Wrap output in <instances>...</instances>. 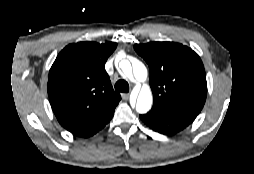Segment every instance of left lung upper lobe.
Returning <instances> with one entry per match:
<instances>
[{
    "instance_id": "5c2ea615",
    "label": "left lung upper lobe",
    "mask_w": 254,
    "mask_h": 174,
    "mask_svg": "<svg viewBox=\"0 0 254 174\" xmlns=\"http://www.w3.org/2000/svg\"><path fill=\"white\" fill-rule=\"evenodd\" d=\"M134 49L149 66L153 105L196 117L207 96L200 57L191 48L173 42L135 44Z\"/></svg>"
}]
</instances>
